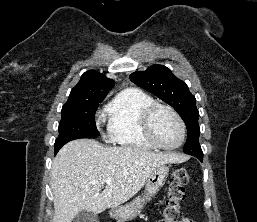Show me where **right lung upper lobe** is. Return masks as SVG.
<instances>
[{
  "label": "right lung upper lobe",
  "instance_id": "right-lung-upper-lobe-1",
  "mask_svg": "<svg viewBox=\"0 0 257 222\" xmlns=\"http://www.w3.org/2000/svg\"><path fill=\"white\" fill-rule=\"evenodd\" d=\"M113 86L112 79L95 70H89L83 73L77 85L71 90L68 101L105 97Z\"/></svg>",
  "mask_w": 257,
  "mask_h": 222
}]
</instances>
